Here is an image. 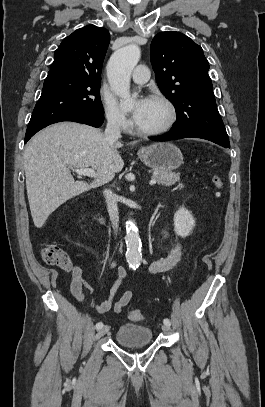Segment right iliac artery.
I'll use <instances>...</instances> for the list:
<instances>
[{"instance_id":"1","label":"right iliac artery","mask_w":265,"mask_h":407,"mask_svg":"<svg viewBox=\"0 0 265 407\" xmlns=\"http://www.w3.org/2000/svg\"><path fill=\"white\" fill-rule=\"evenodd\" d=\"M103 327V323L102 322H98L97 324H96V329H100V328H102Z\"/></svg>"}]
</instances>
